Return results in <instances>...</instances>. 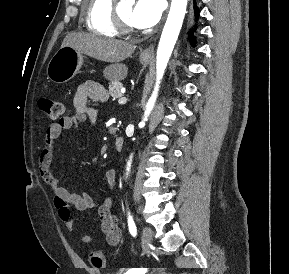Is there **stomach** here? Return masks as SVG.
<instances>
[{"label": "stomach", "mask_w": 289, "mask_h": 274, "mask_svg": "<svg viewBox=\"0 0 289 274\" xmlns=\"http://www.w3.org/2000/svg\"><path fill=\"white\" fill-rule=\"evenodd\" d=\"M150 57L141 56L140 61L147 64ZM83 64V55L70 46L61 47L50 59L47 76L54 83H65L71 80Z\"/></svg>", "instance_id": "0dacf381"}]
</instances>
